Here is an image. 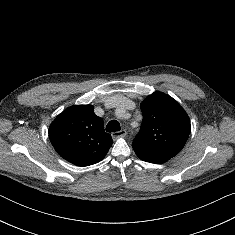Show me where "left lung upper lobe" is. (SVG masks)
I'll use <instances>...</instances> for the list:
<instances>
[{"instance_id": "left-lung-upper-lobe-1", "label": "left lung upper lobe", "mask_w": 235, "mask_h": 235, "mask_svg": "<svg viewBox=\"0 0 235 235\" xmlns=\"http://www.w3.org/2000/svg\"><path fill=\"white\" fill-rule=\"evenodd\" d=\"M143 121L132 147L138 157L169 160L184 147L191 131L190 120L176 100L154 92L141 103Z\"/></svg>"}]
</instances>
